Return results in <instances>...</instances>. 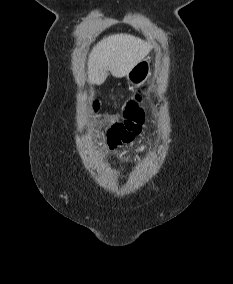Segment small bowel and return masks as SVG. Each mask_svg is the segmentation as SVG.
<instances>
[{
  "mask_svg": "<svg viewBox=\"0 0 233 284\" xmlns=\"http://www.w3.org/2000/svg\"><path fill=\"white\" fill-rule=\"evenodd\" d=\"M145 149V146H140L136 149V152L140 153Z\"/></svg>",
  "mask_w": 233,
  "mask_h": 284,
  "instance_id": "c3829d8e",
  "label": "small bowel"
}]
</instances>
